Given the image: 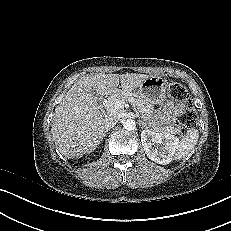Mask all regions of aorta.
<instances>
[{"label":"aorta","mask_w":231,"mask_h":231,"mask_svg":"<svg viewBox=\"0 0 231 231\" xmlns=\"http://www.w3.org/2000/svg\"><path fill=\"white\" fill-rule=\"evenodd\" d=\"M123 127L126 129V130H134L136 128V123L133 119H127L123 122Z\"/></svg>","instance_id":"obj_1"}]
</instances>
